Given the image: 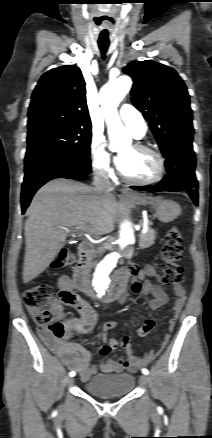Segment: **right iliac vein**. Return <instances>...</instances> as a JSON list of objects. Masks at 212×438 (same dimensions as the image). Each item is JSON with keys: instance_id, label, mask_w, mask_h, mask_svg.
Returning <instances> with one entry per match:
<instances>
[{"instance_id": "right-iliac-vein-1", "label": "right iliac vein", "mask_w": 212, "mask_h": 438, "mask_svg": "<svg viewBox=\"0 0 212 438\" xmlns=\"http://www.w3.org/2000/svg\"><path fill=\"white\" fill-rule=\"evenodd\" d=\"M67 382H68L69 385H71V384H73L74 379H73V378H68V379H67Z\"/></svg>"}]
</instances>
